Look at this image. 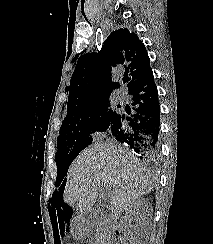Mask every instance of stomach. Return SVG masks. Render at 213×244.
Wrapping results in <instances>:
<instances>
[{"instance_id":"0dacf381","label":"stomach","mask_w":213,"mask_h":244,"mask_svg":"<svg viewBox=\"0 0 213 244\" xmlns=\"http://www.w3.org/2000/svg\"><path fill=\"white\" fill-rule=\"evenodd\" d=\"M74 227L71 230V233L77 237V238H83L85 236V231H84V221H75L74 222Z\"/></svg>"}]
</instances>
